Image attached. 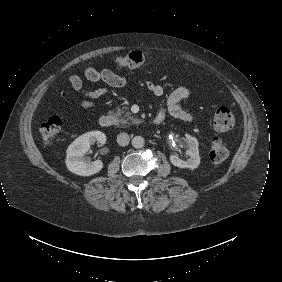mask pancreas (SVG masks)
Here are the masks:
<instances>
[{
    "label": "pancreas",
    "instance_id": "cf45deb5",
    "mask_svg": "<svg viewBox=\"0 0 282 282\" xmlns=\"http://www.w3.org/2000/svg\"><path fill=\"white\" fill-rule=\"evenodd\" d=\"M128 109L129 107L127 106L117 108L115 116L119 118L121 125L140 124L143 122L142 119L134 117L130 111H127Z\"/></svg>",
    "mask_w": 282,
    "mask_h": 282
}]
</instances>
